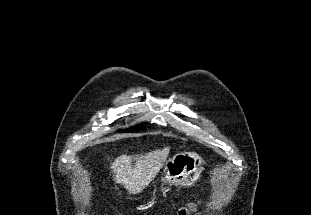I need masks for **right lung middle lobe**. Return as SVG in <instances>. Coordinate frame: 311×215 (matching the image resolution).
I'll list each match as a JSON object with an SVG mask.
<instances>
[{"mask_svg":"<svg viewBox=\"0 0 311 215\" xmlns=\"http://www.w3.org/2000/svg\"><path fill=\"white\" fill-rule=\"evenodd\" d=\"M139 130H142V127L140 126H134V127H131L127 130H121V132H125V131H139Z\"/></svg>","mask_w":311,"mask_h":215,"instance_id":"right-lung-middle-lobe-1","label":"right lung middle lobe"}]
</instances>
